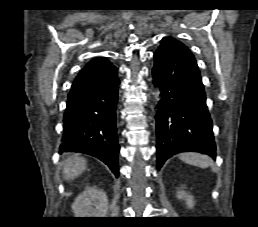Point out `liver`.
Listing matches in <instances>:
<instances>
[{
  "label": "liver",
  "instance_id": "obj_1",
  "mask_svg": "<svg viewBox=\"0 0 258 227\" xmlns=\"http://www.w3.org/2000/svg\"><path fill=\"white\" fill-rule=\"evenodd\" d=\"M86 169V160L82 157L67 156L65 159L63 178L72 180L82 174Z\"/></svg>",
  "mask_w": 258,
  "mask_h": 227
}]
</instances>
